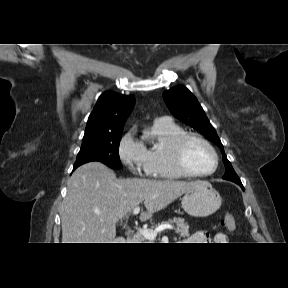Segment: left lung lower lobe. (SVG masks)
Listing matches in <instances>:
<instances>
[{"label":"left lung lower lobe","mask_w":288,"mask_h":288,"mask_svg":"<svg viewBox=\"0 0 288 288\" xmlns=\"http://www.w3.org/2000/svg\"><path fill=\"white\" fill-rule=\"evenodd\" d=\"M234 183L238 184L239 186H241L242 189H244L241 182H234Z\"/></svg>","instance_id":"0a47b994"}]
</instances>
